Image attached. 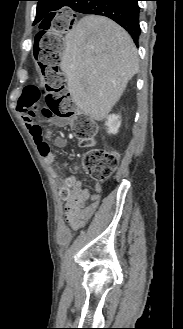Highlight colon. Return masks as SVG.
<instances>
[{"label": "colon", "mask_w": 183, "mask_h": 329, "mask_svg": "<svg viewBox=\"0 0 183 329\" xmlns=\"http://www.w3.org/2000/svg\"><path fill=\"white\" fill-rule=\"evenodd\" d=\"M78 24L79 14H45V19H40L37 31L32 32V37L36 38L33 47L36 66H28V73L40 74H28L27 86L23 87L17 112L70 121L75 137L82 145L91 147L83 155L85 171L94 180H104L116 170L120 154L113 149L92 147L96 127L86 114L76 109L66 88L67 76L59 68L61 38H74L75 26ZM35 129L41 128L36 126ZM49 148V143L42 141V153H47ZM61 196L72 205L80 202V193L73 187H63Z\"/></svg>", "instance_id": "colon-1"}]
</instances>
